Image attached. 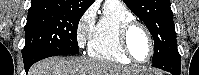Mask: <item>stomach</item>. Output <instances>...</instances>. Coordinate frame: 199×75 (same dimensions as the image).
<instances>
[{
  "label": "stomach",
  "mask_w": 199,
  "mask_h": 75,
  "mask_svg": "<svg viewBox=\"0 0 199 75\" xmlns=\"http://www.w3.org/2000/svg\"><path fill=\"white\" fill-rule=\"evenodd\" d=\"M135 75H153L152 72L148 71V70H141L140 72H138Z\"/></svg>",
  "instance_id": "1"
}]
</instances>
